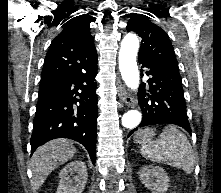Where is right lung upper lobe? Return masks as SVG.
<instances>
[{"label":"right lung upper lobe","instance_id":"cb5924a9","mask_svg":"<svg viewBox=\"0 0 221 193\" xmlns=\"http://www.w3.org/2000/svg\"><path fill=\"white\" fill-rule=\"evenodd\" d=\"M45 57L40 85L85 72L97 62L94 39L84 15L69 17Z\"/></svg>","mask_w":221,"mask_h":193}]
</instances>
